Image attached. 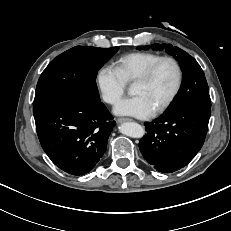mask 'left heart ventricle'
<instances>
[{"mask_svg":"<svg viewBox=\"0 0 231 231\" xmlns=\"http://www.w3.org/2000/svg\"><path fill=\"white\" fill-rule=\"evenodd\" d=\"M177 80V73L171 62H163L152 78L145 83H134L132 93L141 95L156 109L171 94Z\"/></svg>","mask_w":231,"mask_h":231,"instance_id":"1","label":"left heart ventricle"}]
</instances>
